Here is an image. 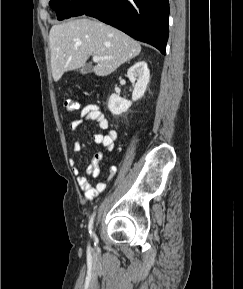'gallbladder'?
<instances>
[{"label": "gallbladder", "instance_id": "gallbladder-1", "mask_svg": "<svg viewBox=\"0 0 243 289\" xmlns=\"http://www.w3.org/2000/svg\"><path fill=\"white\" fill-rule=\"evenodd\" d=\"M93 71V67L91 65H85L84 67H82L79 72L81 74H87V73H91Z\"/></svg>", "mask_w": 243, "mask_h": 289}]
</instances>
